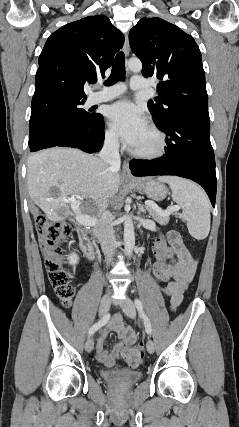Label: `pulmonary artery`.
I'll return each mask as SVG.
<instances>
[{
  "instance_id": "1",
  "label": "pulmonary artery",
  "mask_w": 239,
  "mask_h": 427,
  "mask_svg": "<svg viewBox=\"0 0 239 427\" xmlns=\"http://www.w3.org/2000/svg\"><path fill=\"white\" fill-rule=\"evenodd\" d=\"M130 88L134 91H143L149 88V84L142 76L135 75L131 79ZM125 90L126 86L124 84H115L110 87H105L101 91L91 95L88 99V103L93 105L112 100L123 94Z\"/></svg>"
}]
</instances>
